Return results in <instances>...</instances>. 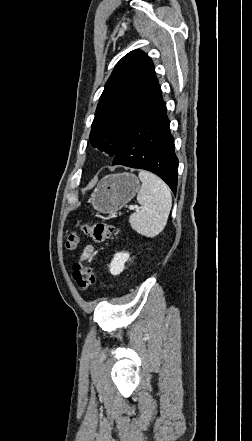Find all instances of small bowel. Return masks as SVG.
Instances as JSON below:
<instances>
[{
  "instance_id": "c3829d8e",
  "label": "small bowel",
  "mask_w": 252,
  "mask_h": 441,
  "mask_svg": "<svg viewBox=\"0 0 252 441\" xmlns=\"http://www.w3.org/2000/svg\"><path fill=\"white\" fill-rule=\"evenodd\" d=\"M92 253H93V246H91V245L86 246L83 249L82 254L80 255V260L83 261V260L89 259L92 255Z\"/></svg>"
}]
</instances>
